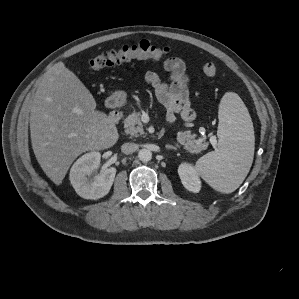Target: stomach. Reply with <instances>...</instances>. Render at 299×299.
Masks as SVG:
<instances>
[{
	"label": "stomach",
	"mask_w": 299,
	"mask_h": 299,
	"mask_svg": "<svg viewBox=\"0 0 299 299\" xmlns=\"http://www.w3.org/2000/svg\"><path fill=\"white\" fill-rule=\"evenodd\" d=\"M125 100H126V94L125 92L122 91L115 92L110 98V102L113 107H118L123 105L125 103Z\"/></svg>",
	"instance_id": "1"
}]
</instances>
